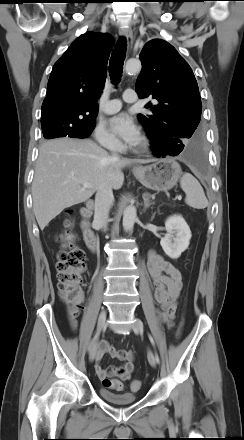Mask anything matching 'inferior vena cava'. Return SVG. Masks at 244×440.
<instances>
[{
	"mask_svg": "<svg viewBox=\"0 0 244 440\" xmlns=\"http://www.w3.org/2000/svg\"><path fill=\"white\" fill-rule=\"evenodd\" d=\"M112 159L117 160L116 154H113ZM114 201L112 187L108 183H103L97 190L95 196V214L94 224L101 229H106L109 210Z\"/></svg>",
	"mask_w": 244,
	"mask_h": 440,
	"instance_id": "1",
	"label": "inferior vena cava"
}]
</instances>
